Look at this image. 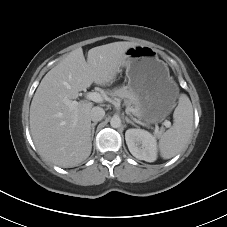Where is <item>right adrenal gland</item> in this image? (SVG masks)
<instances>
[{"label":"right adrenal gland","mask_w":227,"mask_h":227,"mask_svg":"<svg viewBox=\"0 0 227 227\" xmlns=\"http://www.w3.org/2000/svg\"><path fill=\"white\" fill-rule=\"evenodd\" d=\"M98 122H94L91 124V140L94 137V132H95V126L97 125Z\"/></svg>","instance_id":"2a0ac1e0"}]
</instances>
